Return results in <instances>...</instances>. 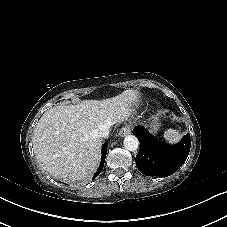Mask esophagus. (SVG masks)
Wrapping results in <instances>:
<instances>
[{
    "instance_id": "34e87169",
    "label": "esophagus",
    "mask_w": 227,
    "mask_h": 227,
    "mask_svg": "<svg viewBox=\"0 0 227 227\" xmlns=\"http://www.w3.org/2000/svg\"><path fill=\"white\" fill-rule=\"evenodd\" d=\"M131 132V127L129 125H125L121 128V130L119 131V135L121 137L127 136L129 135Z\"/></svg>"
}]
</instances>
